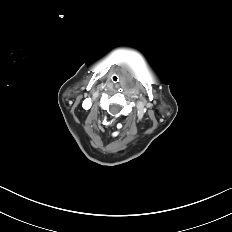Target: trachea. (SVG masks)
<instances>
[{"instance_id": "obj_1", "label": "trachea", "mask_w": 232, "mask_h": 232, "mask_svg": "<svg viewBox=\"0 0 232 232\" xmlns=\"http://www.w3.org/2000/svg\"><path fill=\"white\" fill-rule=\"evenodd\" d=\"M110 80H111V82H112L113 84H118L120 78H119L118 75L112 74V75L110 76Z\"/></svg>"}]
</instances>
